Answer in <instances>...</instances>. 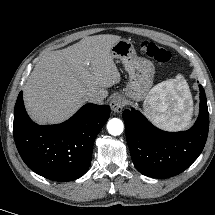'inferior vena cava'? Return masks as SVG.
<instances>
[{
	"label": "inferior vena cava",
	"instance_id": "inferior-vena-cava-1",
	"mask_svg": "<svg viewBox=\"0 0 215 215\" xmlns=\"http://www.w3.org/2000/svg\"><path fill=\"white\" fill-rule=\"evenodd\" d=\"M104 96L101 95V94H89L87 96V101L91 102V103H94V104H103V100H104Z\"/></svg>",
	"mask_w": 215,
	"mask_h": 215
}]
</instances>
